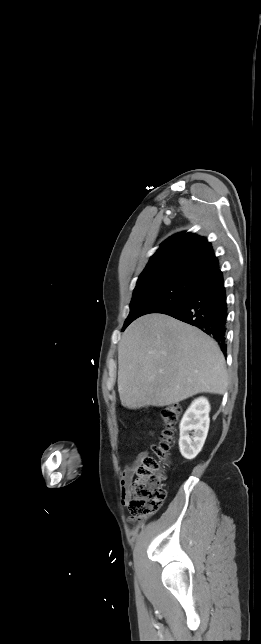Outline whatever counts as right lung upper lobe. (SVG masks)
<instances>
[{"label": "right lung upper lobe", "mask_w": 261, "mask_h": 644, "mask_svg": "<svg viewBox=\"0 0 261 644\" xmlns=\"http://www.w3.org/2000/svg\"><path fill=\"white\" fill-rule=\"evenodd\" d=\"M219 268L206 238L181 232L162 243L140 274L137 285L168 278L197 282Z\"/></svg>", "instance_id": "cb5924a9"}]
</instances>
